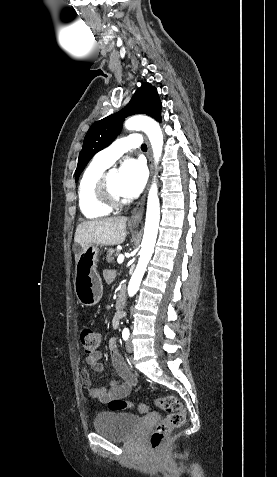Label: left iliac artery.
I'll use <instances>...</instances> for the list:
<instances>
[{
	"label": "left iliac artery",
	"instance_id": "1",
	"mask_svg": "<svg viewBox=\"0 0 277 477\" xmlns=\"http://www.w3.org/2000/svg\"><path fill=\"white\" fill-rule=\"evenodd\" d=\"M129 330L127 328H125L122 332V337L124 340H127L129 338Z\"/></svg>",
	"mask_w": 277,
	"mask_h": 477
}]
</instances>
